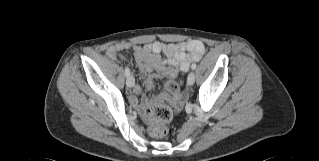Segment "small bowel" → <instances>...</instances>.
I'll list each match as a JSON object with an SVG mask.
<instances>
[{
  "label": "small bowel",
  "instance_id": "1",
  "mask_svg": "<svg viewBox=\"0 0 319 161\" xmlns=\"http://www.w3.org/2000/svg\"><path fill=\"white\" fill-rule=\"evenodd\" d=\"M131 45L126 42L118 43L110 46L106 50L108 57L113 59H124L121 54L123 50L129 49ZM134 57L141 71L151 73L153 71L160 74L171 73V67H176L182 75L186 73L190 64L199 61L205 53V46L201 41L189 40L178 43H165L162 41H154L144 45L134 46ZM161 54L165 56L163 59ZM147 88H151L153 83L151 78L145 80ZM133 91L136 95L142 93L139 85H135ZM185 96L183 92L178 90L173 94L171 105L174 109L179 110L184 103ZM131 104L137 108L139 115L143 118L147 117L146 107L155 102L145 98L141 104H138L136 98H131Z\"/></svg>",
  "mask_w": 319,
  "mask_h": 161
}]
</instances>
